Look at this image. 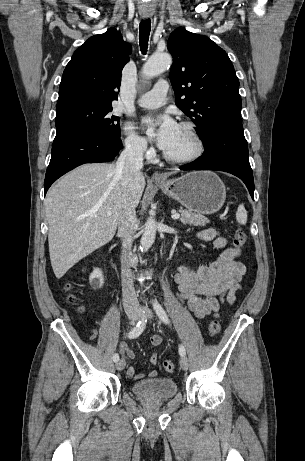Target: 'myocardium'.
Here are the masks:
<instances>
[{"label": "myocardium", "mask_w": 305, "mask_h": 461, "mask_svg": "<svg viewBox=\"0 0 305 461\" xmlns=\"http://www.w3.org/2000/svg\"><path fill=\"white\" fill-rule=\"evenodd\" d=\"M179 126L186 129L188 133L190 134V136L192 137V139L194 140L195 142L194 151L191 154L187 156H183V157H174V156L169 155L166 152L163 153V156L166 161L173 163V164H188V163L196 161L203 155L204 150H205V144H204L203 138L201 137V135L199 134L198 130L196 129L193 123L188 122V121H183L179 124Z\"/></svg>", "instance_id": "obj_1"}]
</instances>
